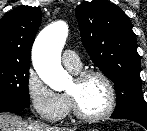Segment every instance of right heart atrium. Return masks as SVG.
Returning <instances> with one entry per match:
<instances>
[{"label": "right heart atrium", "instance_id": "right-heart-atrium-1", "mask_svg": "<svg viewBox=\"0 0 147 131\" xmlns=\"http://www.w3.org/2000/svg\"><path fill=\"white\" fill-rule=\"evenodd\" d=\"M26 91L32 108L40 118L48 122H58L67 115V97L47 86L33 69L27 74Z\"/></svg>", "mask_w": 147, "mask_h": 131}]
</instances>
